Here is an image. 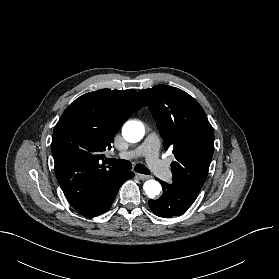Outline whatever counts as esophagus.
Returning a JSON list of instances; mask_svg holds the SVG:
<instances>
[{
	"mask_svg": "<svg viewBox=\"0 0 279 279\" xmlns=\"http://www.w3.org/2000/svg\"><path fill=\"white\" fill-rule=\"evenodd\" d=\"M137 177L141 180H147V179H150L151 177L148 176V175H144V174H137Z\"/></svg>",
	"mask_w": 279,
	"mask_h": 279,
	"instance_id": "obj_1",
	"label": "esophagus"
}]
</instances>
